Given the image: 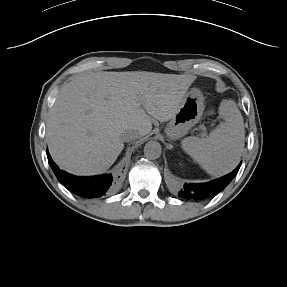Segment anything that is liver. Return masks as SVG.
<instances>
[{
	"label": "liver",
	"mask_w": 287,
	"mask_h": 287,
	"mask_svg": "<svg viewBox=\"0 0 287 287\" xmlns=\"http://www.w3.org/2000/svg\"><path fill=\"white\" fill-rule=\"evenodd\" d=\"M194 80L139 72L74 77L61 88L47 120L53 160L77 175L106 171L124 148L122 133L133 129L144 136L152 130L151 116L160 122L172 119Z\"/></svg>",
	"instance_id": "1"
}]
</instances>
